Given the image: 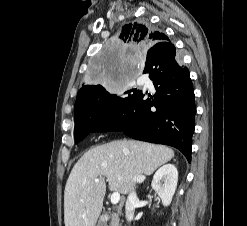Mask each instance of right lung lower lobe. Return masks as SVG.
<instances>
[{
  "mask_svg": "<svg viewBox=\"0 0 247 226\" xmlns=\"http://www.w3.org/2000/svg\"><path fill=\"white\" fill-rule=\"evenodd\" d=\"M169 43L150 47L143 73H149L156 89L144 99L132 90L123 104L98 125L96 131H122L134 139L179 149L190 162L196 107L187 67L175 57Z\"/></svg>",
  "mask_w": 247,
  "mask_h": 226,
  "instance_id": "1",
  "label": "right lung lower lobe"
}]
</instances>
